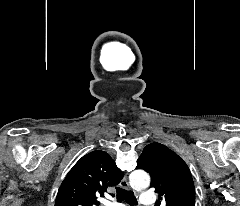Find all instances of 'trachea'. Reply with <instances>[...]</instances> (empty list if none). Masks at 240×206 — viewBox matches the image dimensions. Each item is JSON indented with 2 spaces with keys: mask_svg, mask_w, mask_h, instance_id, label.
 Listing matches in <instances>:
<instances>
[{
  "mask_svg": "<svg viewBox=\"0 0 240 206\" xmlns=\"http://www.w3.org/2000/svg\"><path fill=\"white\" fill-rule=\"evenodd\" d=\"M117 191V200L119 202L126 201L131 205H137V200L134 196V193L132 191H127L123 188H116Z\"/></svg>",
  "mask_w": 240,
  "mask_h": 206,
  "instance_id": "obj_1",
  "label": "trachea"
}]
</instances>
